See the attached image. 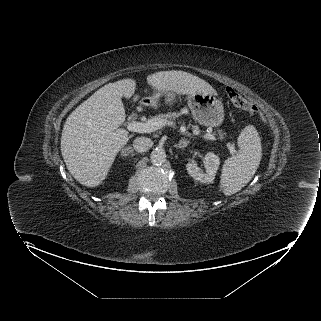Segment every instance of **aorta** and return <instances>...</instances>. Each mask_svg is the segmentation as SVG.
Masks as SVG:
<instances>
[{
  "label": "aorta",
  "instance_id": "aorta-1",
  "mask_svg": "<svg viewBox=\"0 0 321 321\" xmlns=\"http://www.w3.org/2000/svg\"><path fill=\"white\" fill-rule=\"evenodd\" d=\"M150 160L155 165H161L166 161V153L163 149H155L151 152Z\"/></svg>",
  "mask_w": 321,
  "mask_h": 321
}]
</instances>
